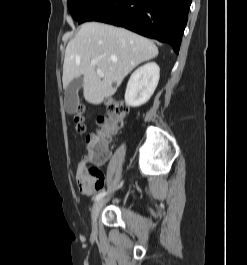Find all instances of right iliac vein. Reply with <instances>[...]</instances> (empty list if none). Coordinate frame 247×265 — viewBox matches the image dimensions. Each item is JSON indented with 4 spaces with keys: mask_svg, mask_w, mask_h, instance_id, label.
Segmentation results:
<instances>
[{
    "mask_svg": "<svg viewBox=\"0 0 247 265\" xmlns=\"http://www.w3.org/2000/svg\"><path fill=\"white\" fill-rule=\"evenodd\" d=\"M106 201H107L106 199L98 200L92 208L91 218H92V227L94 231H96V228H97V218H98L99 212L104 206V204L106 203Z\"/></svg>",
    "mask_w": 247,
    "mask_h": 265,
    "instance_id": "1",
    "label": "right iliac vein"
}]
</instances>
